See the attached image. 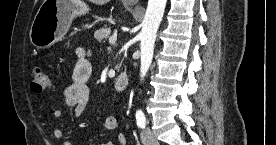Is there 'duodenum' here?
<instances>
[{
	"label": "duodenum",
	"instance_id": "1",
	"mask_svg": "<svg viewBox=\"0 0 276 145\" xmlns=\"http://www.w3.org/2000/svg\"><path fill=\"white\" fill-rule=\"evenodd\" d=\"M128 84H129V78L127 73L125 72L120 73L114 82L115 92L118 94L123 93L127 89Z\"/></svg>",
	"mask_w": 276,
	"mask_h": 145
}]
</instances>
